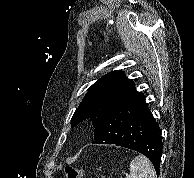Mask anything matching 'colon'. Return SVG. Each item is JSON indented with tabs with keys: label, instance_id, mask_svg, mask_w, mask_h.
<instances>
[{
	"label": "colon",
	"instance_id": "5ec220e1",
	"mask_svg": "<svg viewBox=\"0 0 194 178\" xmlns=\"http://www.w3.org/2000/svg\"><path fill=\"white\" fill-rule=\"evenodd\" d=\"M63 174L65 178H85L84 170L73 166H66Z\"/></svg>",
	"mask_w": 194,
	"mask_h": 178
}]
</instances>
